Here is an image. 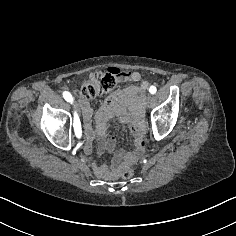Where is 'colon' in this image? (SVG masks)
<instances>
[{
    "instance_id": "1",
    "label": "colon",
    "mask_w": 236,
    "mask_h": 236,
    "mask_svg": "<svg viewBox=\"0 0 236 236\" xmlns=\"http://www.w3.org/2000/svg\"><path fill=\"white\" fill-rule=\"evenodd\" d=\"M118 74V71L114 69H110L104 73H92L77 92L78 97L81 99H92L100 94L111 92L115 88ZM134 173L133 168L125 167L120 172V177L127 180L132 178Z\"/></svg>"
}]
</instances>
